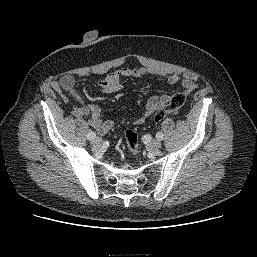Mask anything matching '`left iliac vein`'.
<instances>
[{"instance_id": "4c4485c4", "label": "left iliac vein", "mask_w": 257, "mask_h": 257, "mask_svg": "<svg viewBox=\"0 0 257 257\" xmlns=\"http://www.w3.org/2000/svg\"><path fill=\"white\" fill-rule=\"evenodd\" d=\"M161 147V142L159 140H152L150 143H149V148L152 150V151H156L158 149H160Z\"/></svg>"}]
</instances>
